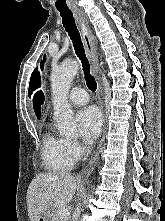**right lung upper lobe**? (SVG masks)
Here are the masks:
<instances>
[{
	"label": "right lung upper lobe",
	"instance_id": "obj_1",
	"mask_svg": "<svg viewBox=\"0 0 165 221\" xmlns=\"http://www.w3.org/2000/svg\"><path fill=\"white\" fill-rule=\"evenodd\" d=\"M40 75L38 72V68H36L32 75H31V79H30V84H29V97H31L32 91L37 88L38 86H40Z\"/></svg>",
	"mask_w": 165,
	"mask_h": 221
}]
</instances>
